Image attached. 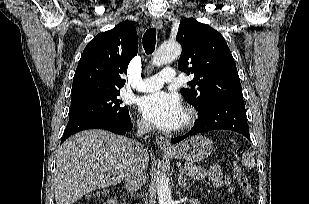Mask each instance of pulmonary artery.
I'll list each match as a JSON object with an SVG mask.
<instances>
[{
	"label": "pulmonary artery",
	"instance_id": "1",
	"mask_svg": "<svg viewBox=\"0 0 309 204\" xmlns=\"http://www.w3.org/2000/svg\"><path fill=\"white\" fill-rule=\"evenodd\" d=\"M176 77L174 69H165L160 75L142 79L137 84V90L141 92L154 91L161 88L165 83L172 82Z\"/></svg>",
	"mask_w": 309,
	"mask_h": 204
}]
</instances>
